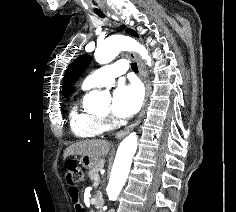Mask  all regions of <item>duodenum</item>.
Here are the masks:
<instances>
[{
  "label": "duodenum",
  "mask_w": 236,
  "mask_h": 212,
  "mask_svg": "<svg viewBox=\"0 0 236 212\" xmlns=\"http://www.w3.org/2000/svg\"><path fill=\"white\" fill-rule=\"evenodd\" d=\"M97 212H104V209L101 206H98Z\"/></svg>",
  "instance_id": "duodenum-1"
}]
</instances>
